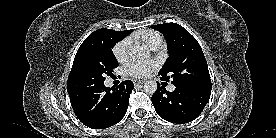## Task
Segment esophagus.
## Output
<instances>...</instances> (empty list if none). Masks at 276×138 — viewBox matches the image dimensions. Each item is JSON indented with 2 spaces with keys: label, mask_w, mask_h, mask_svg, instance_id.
Segmentation results:
<instances>
[{
  "label": "esophagus",
  "mask_w": 276,
  "mask_h": 138,
  "mask_svg": "<svg viewBox=\"0 0 276 138\" xmlns=\"http://www.w3.org/2000/svg\"><path fill=\"white\" fill-rule=\"evenodd\" d=\"M133 82H134L135 85H139V84L144 83V81H142V80H134Z\"/></svg>",
  "instance_id": "obj_1"
}]
</instances>
